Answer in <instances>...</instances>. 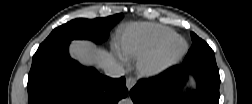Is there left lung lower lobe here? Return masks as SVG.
I'll list each match as a JSON object with an SVG mask.
<instances>
[{"label": "left lung lower lobe", "mask_w": 252, "mask_h": 104, "mask_svg": "<svg viewBox=\"0 0 252 104\" xmlns=\"http://www.w3.org/2000/svg\"><path fill=\"white\" fill-rule=\"evenodd\" d=\"M196 81V90L182 93L188 76ZM220 76L216 63L199 62L174 66L164 73L139 80L130 90L134 104H218Z\"/></svg>", "instance_id": "obj_1"}]
</instances>
